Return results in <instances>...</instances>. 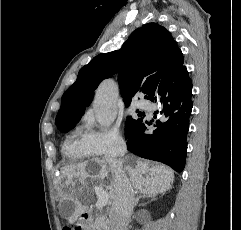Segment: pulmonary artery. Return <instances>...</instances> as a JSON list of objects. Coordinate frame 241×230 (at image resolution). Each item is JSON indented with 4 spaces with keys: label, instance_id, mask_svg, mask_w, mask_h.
Here are the masks:
<instances>
[{
    "label": "pulmonary artery",
    "instance_id": "obj_1",
    "mask_svg": "<svg viewBox=\"0 0 241 230\" xmlns=\"http://www.w3.org/2000/svg\"><path fill=\"white\" fill-rule=\"evenodd\" d=\"M140 105H141V106H144V103H141Z\"/></svg>",
    "mask_w": 241,
    "mask_h": 230
}]
</instances>
